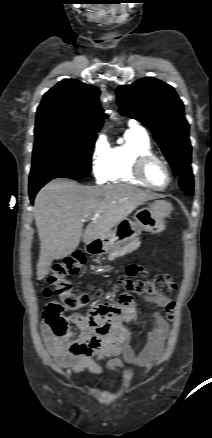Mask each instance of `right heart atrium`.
Wrapping results in <instances>:
<instances>
[{"label":"right heart atrium","mask_w":212,"mask_h":438,"mask_svg":"<svg viewBox=\"0 0 212 438\" xmlns=\"http://www.w3.org/2000/svg\"><path fill=\"white\" fill-rule=\"evenodd\" d=\"M109 145L104 134H100L93 144L91 152V166L94 177L104 182L108 170Z\"/></svg>","instance_id":"right-heart-atrium-1"}]
</instances>
